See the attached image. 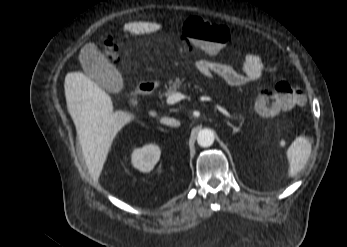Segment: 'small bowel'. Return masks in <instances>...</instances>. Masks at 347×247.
<instances>
[{
    "instance_id": "obj_1",
    "label": "small bowel",
    "mask_w": 347,
    "mask_h": 247,
    "mask_svg": "<svg viewBox=\"0 0 347 247\" xmlns=\"http://www.w3.org/2000/svg\"><path fill=\"white\" fill-rule=\"evenodd\" d=\"M196 68L208 80H212L214 76H217L235 87L257 81L264 72L262 60L255 53L245 55L242 71L237 70L232 65L210 59H199L196 62Z\"/></svg>"
}]
</instances>
